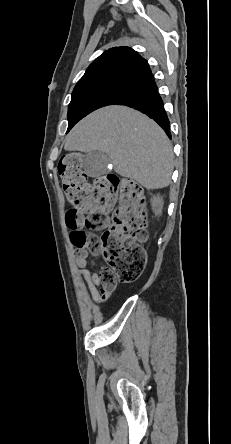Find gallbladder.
<instances>
[{"mask_svg": "<svg viewBox=\"0 0 231 444\" xmlns=\"http://www.w3.org/2000/svg\"><path fill=\"white\" fill-rule=\"evenodd\" d=\"M110 162L107 154L91 151L85 155L84 171L90 177H100L109 171L107 166Z\"/></svg>", "mask_w": 231, "mask_h": 444, "instance_id": "1", "label": "gallbladder"}]
</instances>
